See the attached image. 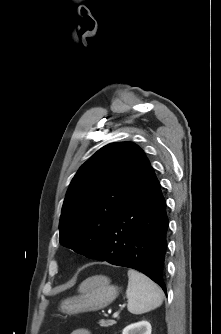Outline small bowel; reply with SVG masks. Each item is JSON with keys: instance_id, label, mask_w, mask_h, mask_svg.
Masks as SVG:
<instances>
[{"instance_id": "obj_1", "label": "small bowel", "mask_w": 221, "mask_h": 334, "mask_svg": "<svg viewBox=\"0 0 221 334\" xmlns=\"http://www.w3.org/2000/svg\"><path fill=\"white\" fill-rule=\"evenodd\" d=\"M71 334H91V333L85 328H78L72 331Z\"/></svg>"}]
</instances>
